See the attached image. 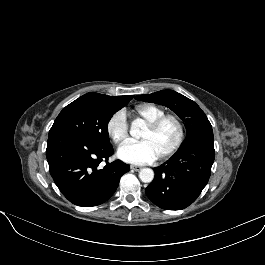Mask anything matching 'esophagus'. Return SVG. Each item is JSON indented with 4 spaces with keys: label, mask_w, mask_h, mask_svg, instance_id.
<instances>
[{
    "label": "esophagus",
    "mask_w": 265,
    "mask_h": 265,
    "mask_svg": "<svg viewBox=\"0 0 265 265\" xmlns=\"http://www.w3.org/2000/svg\"><path fill=\"white\" fill-rule=\"evenodd\" d=\"M131 169L134 171H139L142 169V166H138V165H131Z\"/></svg>",
    "instance_id": "1"
}]
</instances>
